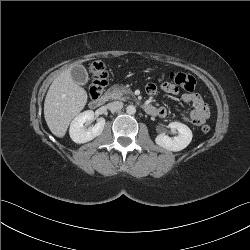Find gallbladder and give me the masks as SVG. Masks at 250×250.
<instances>
[{"instance_id":"obj_1","label":"gallbladder","mask_w":250,"mask_h":250,"mask_svg":"<svg viewBox=\"0 0 250 250\" xmlns=\"http://www.w3.org/2000/svg\"><path fill=\"white\" fill-rule=\"evenodd\" d=\"M71 76L73 80L80 85H84L88 81V73L82 65L72 67Z\"/></svg>"}]
</instances>
